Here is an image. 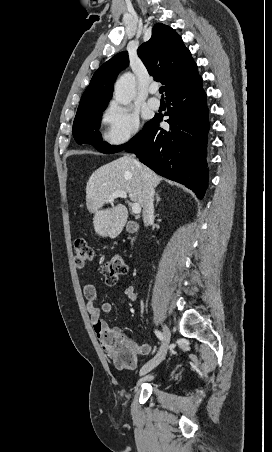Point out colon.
I'll list each match as a JSON object with an SVG mask.
<instances>
[{"mask_svg": "<svg viewBox=\"0 0 272 452\" xmlns=\"http://www.w3.org/2000/svg\"><path fill=\"white\" fill-rule=\"evenodd\" d=\"M73 257L75 266L82 268L94 260V251L86 240L78 239L74 243ZM127 271L128 264L121 254L111 256L102 266V274L107 285H114L118 277ZM105 349L117 368L132 370L136 367V346L125 335L108 337Z\"/></svg>", "mask_w": 272, "mask_h": 452, "instance_id": "5ec220e1", "label": "colon"}]
</instances>
